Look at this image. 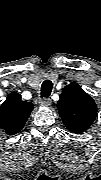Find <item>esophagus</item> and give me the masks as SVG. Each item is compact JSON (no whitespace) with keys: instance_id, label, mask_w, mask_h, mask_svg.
<instances>
[{"instance_id":"34e87169","label":"esophagus","mask_w":101,"mask_h":180,"mask_svg":"<svg viewBox=\"0 0 101 180\" xmlns=\"http://www.w3.org/2000/svg\"><path fill=\"white\" fill-rule=\"evenodd\" d=\"M39 103L42 105V106H49L51 105L52 101L50 98H43L39 101Z\"/></svg>"}]
</instances>
